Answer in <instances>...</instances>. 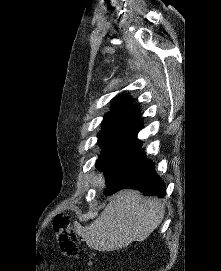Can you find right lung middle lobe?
<instances>
[{
  "label": "right lung middle lobe",
  "instance_id": "right-lung-middle-lobe-1",
  "mask_svg": "<svg viewBox=\"0 0 221 271\" xmlns=\"http://www.w3.org/2000/svg\"><path fill=\"white\" fill-rule=\"evenodd\" d=\"M134 130H102L98 134V145L102 148L96 168L105 171L130 157L141 146Z\"/></svg>",
  "mask_w": 221,
  "mask_h": 271
}]
</instances>
